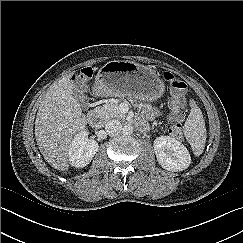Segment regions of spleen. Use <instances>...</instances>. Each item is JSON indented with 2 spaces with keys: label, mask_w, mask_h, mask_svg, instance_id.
I'll list each match as a JSON object with an SVG mask.
<instances>
[{
  "label": "spleen",
  "mask_w": 243,
  "mask_h": 243,
  "mask_svg": "<svg viewBox=\"0 0 243 243\" xmlns=\"http://www.w3.org/2000/svg\"><path fill=\"white\" fill-rule=\"evenodd\" d=\"M191 111L184 124V135L195 155L202 154L206 143L205 121L201 109L190 100Z\"/></svg>",
  "instance_id": "1"
}]
</instances>
